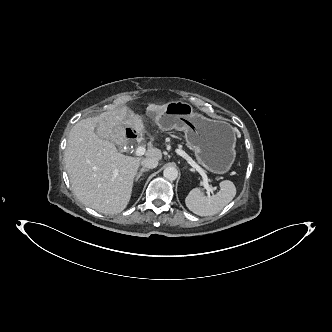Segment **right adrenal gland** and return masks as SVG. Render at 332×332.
<instances>
[{
  "label": "right adrenal gland",
  "mask_w": 332,
  "mask_h": 332,
  "mask_svg": "<svg viewBox=\"0 0 332 332\" xmlns=\"http://www.w3.org/2000/svg\"><path fill=\"white\" fill-rule=\"evenodd\" d=\"M148 170H149V169H147V168H142V169L140 170V172L138 173V175L136 176L135 181L137 182V181L139 180V178L142 176L143 172H146V171H148Z\"/></svg>",
  "instance_id": "2a0ac1e0"
}]
</instances>
